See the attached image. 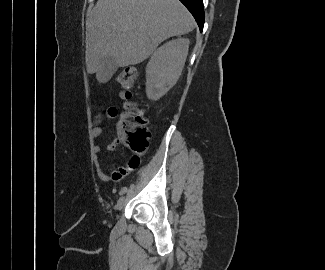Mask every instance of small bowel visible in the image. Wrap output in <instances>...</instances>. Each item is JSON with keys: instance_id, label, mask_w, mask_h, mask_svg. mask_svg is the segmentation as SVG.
Instances as JSON below:
<instances>
[{"instance_id": "1", "label": "small bowel", "mask_w": 325, "mask_h": 270, "mask_svg": "<svg viewBox=\"0 0 325 270\" xmlns=\"http://www.w3.org/2000/svg\"><path fill=\"white\" fill-rule=\"evenodd\" d=\"M118 115H119L118 109L112 106L107 109L105 117L107 119H115ZM102 133H103V129L100 126H95L91 131V137L93 140H98L101 138ZM118 144H119L118 140H113L106 146V149L108 151H113ZM93 153L95 155V167H96L97 175L104 182H109L111 180L116 181L121 177H123L125 174H127L129 171L135 169V168H129L128 166L118 167L114 169L111 173H108L102 167L101 162L99 160V157L103 154V148L100 145H94Z\"/></svg>"}]
</instances>
